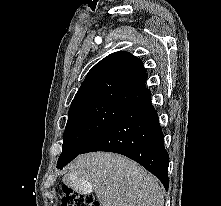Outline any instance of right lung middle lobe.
<instances>
[{"instance_id":"1","label":"right lung middle lobe","mask_w":221,"mask_h":206,"mask_svg":"<svg viewBox=\"0 0 221 206\" xmlns=\"http://www.w3.org/2000/svg\"><path fill=\"white\" fill-rule=\"evenodd\" d=\"M125 109L120 106L97 104L69 110L62 153L58 159L57 167L79 155Z\"/></svg>"}]
</instances>
